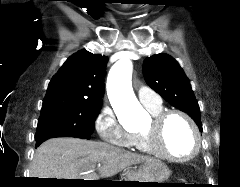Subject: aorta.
I'll return each mask as SVG.
<instances>
[{"instance_id": "obj_1", "label": "aorta", "mask_w": 240, "mask_h": 187, "mask_svg": "<svg viewBox=\"0 0 240 187\" xmlns=\"http://www.w3.org/2000/svg\"><path fill=\"white\" fill-rule=\"evenodd\" d=\"M132 62L121 59L109 71L107 77V94L109 101L120 121L125 118L138 123L147 117L146 111L138 102L132 89Z\"/></svg>"}]
</instances>
